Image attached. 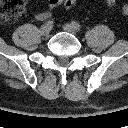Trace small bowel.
<instances>
[{"mask_svg":"<svg viewBox=\"0 0 128 128\" xmlns=\"http://www.w3.org/2000/svg\"><path fill=\"white\" fill-rule=\"evenodd\" d=\"M63 3V0H48V7L50 9H54L56 7H58L59 5H61ZM51 16V13L49 11H42L36 14V19L38 21H45L47 19H49Z\"/></svg>","mask_w":128,"mask_h":128,"instance_id":"obj_1","label":"small bowel"}]
</instances>
